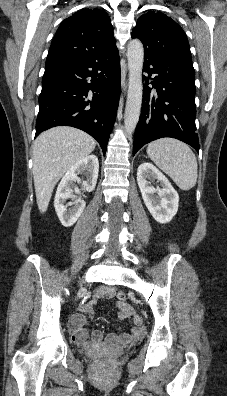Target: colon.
Listing matches in <instances>:
<instances>
[{
	"mask_svg": "<svg viewBox=\"0 0 227 396\" xmlns=\"http://www.w3.org/2000/svg\"><path fill=\"white\" fill-rule=\"evenodd\" d=\"M118 298L123 299L124 298V294L123 293H119L118 294Z\"/></svg>",
	"mask_w": 227,
	"mask_h": 396,
	"instance_id": "1",
	"label": "colon"
}]
</instances>
